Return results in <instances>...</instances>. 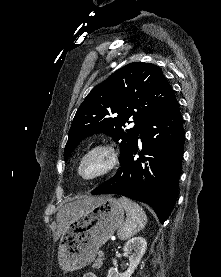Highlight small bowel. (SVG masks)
Masks as SVG:
<instances>
[{"instance_id":"small-bowel-1","label":"small bowel","mask_w":221,"mask_h":277,"mask_svg":"<svg viewBox=\"0 0 221 277\" xmlns=\"http://www.w3.org/2000/svg\"><path fill=\"white\" fill-rule=\"evenodd\" d=\"M83 277H96V275L93 273H86Z\"/></svg>"}]
</instances>
